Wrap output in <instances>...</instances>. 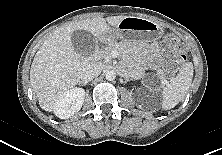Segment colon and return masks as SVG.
<instances>
[{
  "mask_svg": "<svg viewBox=\"0 0 222 155\" xmlns=\"http://www.w3.org/2000/svg\"><path fill=\"white\" fill-rule=\"evenodd\" d=\"M162 46L165 53L163 68L168 75H173L185 60L184 45L178 36L170 34L164 37Z\"/></svg>",
  "mask_w": 222,
  "mask_h": 155,
  "instance_id": "colon-1",
  "label": "colon"
}]
</instances>
